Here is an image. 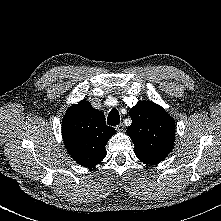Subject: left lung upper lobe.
<instances>
[{"mask_svg": "<svg viewBox=\"0 0 221 221\" xmlns=\"http://www.w3.org/2000/svg\"><path fill=\"white\" fill-rule=\"evenodd\" d=\"M132 124L127 134L135 146V155L146 164L163 161L175 140L174 119L159 105L140 101L129 111Z\"/></svg>", "mask_w": 221, "mask_h": 221, "instance_id": "5c2ea615", "label": "left lung upper lobe"}]
</instances>
